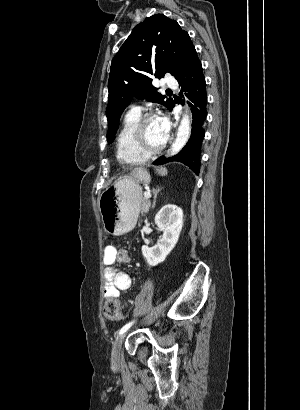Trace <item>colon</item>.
Masks as SVG:
<instances>
[{
	"label": "colon",
	"instance_id": "1",
	"mask_svg": "<svg viewBox=\"0 0 300 410\" xmlns=\"http://www.w3.org/2000/svg\"><path fill=\"white\" fill-rule=\"evenodd\" d=\"M129 249L127 247H119L115 252V259L119 263H126L129 261ZM103 312L106 318L110 320H118L121 318V304L115 297H110L104 304Z\"/></svg>",
	"mask_w": 300,
	"mask_h": 410
}]
</instances>
